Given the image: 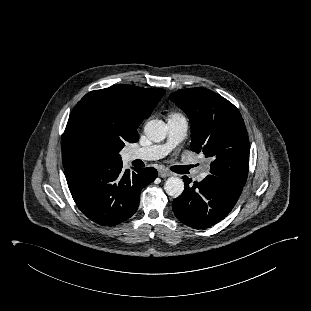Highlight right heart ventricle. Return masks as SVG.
<instances>
[{
	"mask_svg": "<svg viewBox=\"0 0 311 311\" xmlns=\"http://www.w3.org/2000/svg\"><path fill=\"white\" fill-rule=\"evenodd\" d=\"M177 117H182V116L179 113H172L169 116V118H177Z\"/></svg>",
	"mask_w": 311,
	"mask_h": 311,
	"instance_id": "e07e8e85",
	"label": "right heart ventricle"
}]
</instances>
